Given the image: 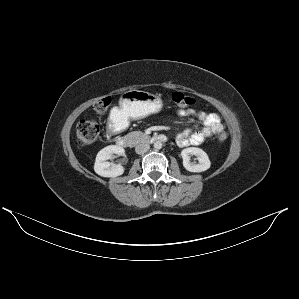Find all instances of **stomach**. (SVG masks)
Returning a JSON list of instances; mask_svg holds the SVG:
<instances>
[{
  "label": "stomach",
  "mask_w": 299,
  "mask_h": 299,
  "mask_svg": "<svg viewBox=\"0 0 299 299\" xmlns=\"http://www.w3.org/2000/svg\"><path fill=\"white\" fill-rule=\"evenodd\" d=\"M163 106L160 95L145 91L129 90L119 100L120 113L126 119H141L157 113Z\"/></svg>",
  "instance_id": "stomach-1"
}]
</instances>
